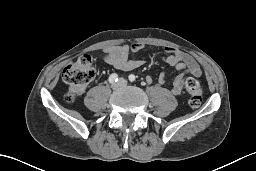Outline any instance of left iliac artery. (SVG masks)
<instances>
[{"label":"left iliac artery","mask_w":256,"mask_h":171,"mask_svg":"<svg viewBox=\"0 0 256 171\" xmlns=\"http://www.w3.org/2000/svg\"><path fill=\"white\" fill-rule=\"evenodd\" d=\"M128 79H129L130 82H134V81L136 80V77H135L134 74H130V75L128 76Z\"/></svg>","instance_id":"1"}]
</instances>
